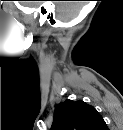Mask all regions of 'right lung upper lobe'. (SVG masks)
I'll return each instance as SVG.
<instances>
[{
	"label": "right lung upper lobe",
	"mask_w": 123,
	"mask_h": 130,
	"mask_svg": "<svg viewBox=\"0 0 123 130\" xmlns=\"http://www.w3.org/2000/svg\"><path fill=\"white\" fill-rule=\"evenodd\" d=\"M58 117L62 125L74 126L78 130H93L102 124L98 112L83 101L66 100L59 105Z\"/></svg>",
	"instance_id": "right-lung-upper-lobe-1"
}]
</instances>
